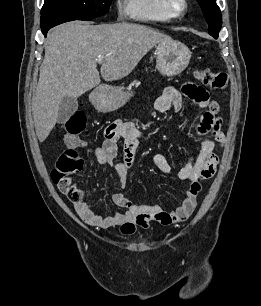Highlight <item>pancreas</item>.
Wrapping results in <instances>:
<instances>
[{"label": "pancreas", "mask_w": 261, "mask_h": 306, "mask_svg": "<svg viewBox=\"0 0 261 306\" xmlns=\"http://www.w3.org/2000/svg\"><path fill=\"white\" fill-rule=\"evenodd\" d=\"M140 85V82L139 81H134L133 83H131L128 87V89L130 90L132 86H139Z\"/></svg>", "instance_id": "1"}]
</instances>
